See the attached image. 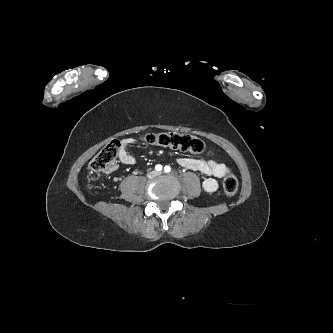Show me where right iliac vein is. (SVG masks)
<instances>
[{"label":"right iliac vein","instance_id":"63e3f726","mask_svg":"<svg viewBox=\"0 0 333 333\" xmlns=\"http://www.w3.org/2000/svg\"><path fill=\"white\" fill-rule=\"evenodd\" d=\"M155 176V172H151L150 174H149V177H154Z\"/></svg>","mask_w":333,"mask_h":333}]
</instances>
